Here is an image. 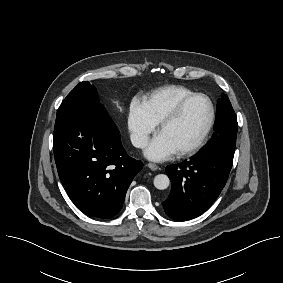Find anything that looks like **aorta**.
I'll return each instance as SVG.
<instances>
[{
    "label": "aorta",
    "instance_id": "obj_1",
    "mask_svg": "<svg viewBox=\"0 0 283 283\" xmlns=\"http://www.w3.org/2000/svg\"><path fill=\"white\" fill-rule=\"evenodd\" d=\"M154 186L159 190L167 189L170 184V179L165 174H158L154 178Z\"/></svg>",
    "mask_w": 283,
    "mask_h": 283
}]
</instances>
